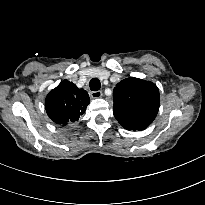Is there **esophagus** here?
Instances as JSON below:
<instances>
[{
  "mask_svg": "<svg viewBox=\"0 0 205 205\" xmlns=\"http://www.w3.org/2000/svg\"><path fill=\"white\" fill-rule=\"evenodd\" d=\"M90 95L92 98L96 99L102 97L103 93L102 91L98 90V91H92Z\"/></svg>",
  "mask_w": 205,
  "mask_h": 205,
  "instance_id": "34e87169",
  "label": "esophagus"
}]
</instances>
